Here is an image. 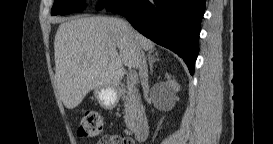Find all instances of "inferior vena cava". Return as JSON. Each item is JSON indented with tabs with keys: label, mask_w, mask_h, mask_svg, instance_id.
<instances>
[{
	"label": "inferior vena cava",
	"mask_w": 273,
	"mask_h": 144,
	"mask_svg": "<svg viewBox=\"0 0 273 144\" xmlns=\"http://www.w3.org/2000/svg\"><path fill=\"white\" fill-rule=\"evenodd\" d=\"M136 56H137L141 84L143 87H147L148 86V69H147L145 54L140 47H137L136 49Z\"/></svg>",
	"instance_id": "602c4592"
}]
</instances>
